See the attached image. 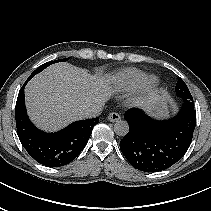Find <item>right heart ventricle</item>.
Instances as JSON below:
<instances>
[{
  "instance_id": "obj_1",
  "label": "right heart ventricle",
  "mask_w": 211,
  "mask_h": 211,
  "mask_svg": "<svg viewBox=\"0 0 211 211\" xmlns=\"http://www.w3.org/2000/svg\"><path fill=\"white\" fill-rule=\"evenodd\" d=\"M145 73L135 68H129L120 72L115 78V84L121 91L129 92L140 86Z\"/></svg>"
}]
</instances>
